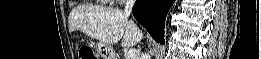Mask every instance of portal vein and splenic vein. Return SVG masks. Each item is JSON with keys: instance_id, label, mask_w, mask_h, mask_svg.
I'll return each mask as SVG.
<instances>
[{"instance_id": "portal-vein-and-splenic-vein-1", "label": "portal vein and splenic vein", "mask_w": 261, "mask_h": 59, "mask_svg": "<svg viewBox=\"0 0 261 59\" xmlns=\"http://www.w3.org/2000/svg\"><path fill=\"white\" fill-rule=\"evenodd\" d=\"M137 56V50L136 49H130L127 53L126 59H135Z\"/></svg>"}]
</instances>
